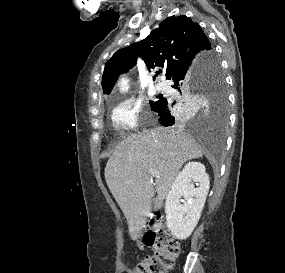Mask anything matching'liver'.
I'll return each instance as SVG.
<instances>
[{"mask_svg":"<svg viewBox=\"0 0 285 273\" xmlns=\"http://www.w3.org/2000/svg\"><path fill=\"white\" fill-rule=\"evenodd\" d=\"M203 152L187 134L169 127H157L122 140L105 167L107 186L127 219L133 240L151 211L154 187L151 170H157V197L154 208L161 209L182 167Z\"/></svg>","mask_w":285,"mask_h":273,"instance_id":"1","label":"liver"}]
</instances>
